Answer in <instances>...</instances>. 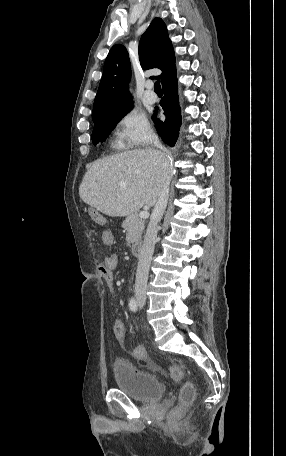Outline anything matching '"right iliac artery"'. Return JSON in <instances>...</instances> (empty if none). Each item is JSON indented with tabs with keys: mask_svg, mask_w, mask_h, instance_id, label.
Instances as JSON below:
<instances>
[{
	"mask_svg": "<svg viewBox=\"0 0 286 456\" xmlns=\"http://www.w3.org/2000/svg\"><path fill=\"white\" fill-rule=\"evenodd\" d=\"M129 308L131 311L136 312L138 308V304L135 298H131L129 301Z\"/></svg>",
	"mask_w": 286,
	"mask_h": 456,
	"instance_id": "82829eb1",
	"label": "right iliac artery"
}]
</instances>
